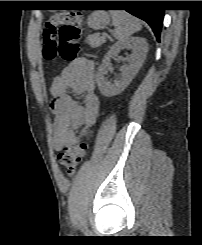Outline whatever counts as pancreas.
<instances>
[{"label":"pancreas","mask_w":202,"mask_h":245,"mask_svg":"<svg viewBox=\"0 0 202 245\" xmlns=\"http://www.w3.org/2000/svg\"><path fill=\"white\" fill-rule=\"evenodd\" d=\"M86 42L92 47V48H96L101 46L102 44L105 43V38L99 37L98 35L94 34V35H89L86 39Z\"/></svg>","instance_id":"obj_1"}]
</instances>
